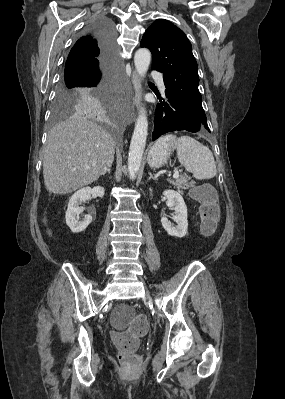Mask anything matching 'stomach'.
I'll use <instances>...</instances> for the list:
<instances>
[{
  "label": "stomach",
  "instance_id": "1",
  "mask_svg": "<svg viewBox=\"0 0 285 399\" xmlns=\"http://www.w3.org/2000/svg\"><path fill=\"white\" fill-rule=\"evenodd\" d=\"M174 146V139L168 137L161 143L155 144L149 151L147 161L150 167L160 168L167 164L168 159L172 152V147Z\"/></svg>",
  "mask_w": 285,
  "mask_h": 399
}]
</instances>
